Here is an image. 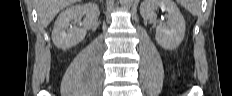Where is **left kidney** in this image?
Here are the masks:
<instances>
[{"label":"left kidney","mask_w":232,"mask_h":96,"mask_svg":"<svg viewBox=\"0 0 232 96\" xmlns=\"http://www.w3.org/2000/svg\"><path fill=\"white\" fill-rule=\"evenodd\" d=\"M157 7L168 12V22L157 26L156 41L164 49H176L185 36V20L172 0H144L140 6L141 16L155 19Z\"/></svg>","instance_id":"5707ae66"}]
</instances>
